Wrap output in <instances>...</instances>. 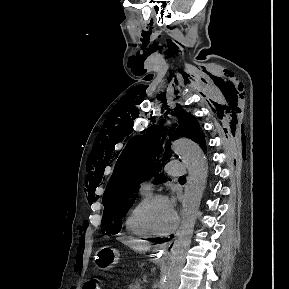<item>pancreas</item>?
Instances as JSON below:
<instances>
[{
    "instance_id": "cf45deb5",
    "label": "pancreas",
    "mask_w": 289,
    "mask_h": 289,
    "mask_svg": "<svg viewBox=\"0 0 289 289\" xmlns=\"http://www.w3.org/2000/svg\"><path fill=\"white\" fill-rule=\"evenodd\" d=\"M142 283L143 282L140 278L136 279L134 283L129 286V289H141Z\"/></svg>"
}]
</instances>
